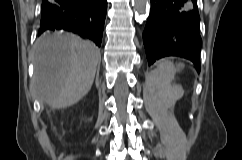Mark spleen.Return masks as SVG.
<instances>
[{
	"instance_id": "obj_1",
	"label": "spleen",
	"mask_w": 242,
	"mask_h": 160,
	"mask_svg": "<svg viewBox=\"0 0 242 160\" xmlns=\"http://www.w3.org/2000/svg\"><path fill=\"white\" fill-rule=\"evenodd\" d=\"M175 73L176 67L172 62L162 61L150 76L149 83L158 89V97L164 108L169 107L177 97V88L171 84Z\"/></svg>"
}]
</instances>
